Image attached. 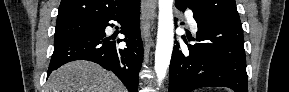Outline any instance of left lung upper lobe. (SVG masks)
<instances>
[{"instance_id":"1","label":"left lung upper lobe","mask_w":289,"mask_h":92,"mask_svg":"<svg viewBox=\"0 0 289 92\" xmlns=\"http://www.w3.org/2000/svg\"><path fill=\"white\" fill-rule=\"evenodd\" d=\"M194 10L221 20L241 25L235 0H183Z\"/></svg>"}]
</instances>
